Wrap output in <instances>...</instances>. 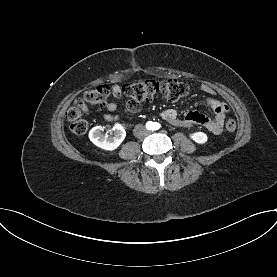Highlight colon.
<instances>
[{
	"label": "colon",
	"mask_w": 277,
	"mask_h": 277,
	"mask_svg": "<svg viewBox=\"0 0 277 277\" xmlns=\"http://www.w3.org/2000/svg\"><path fill=\"white\" fill-rule=\"evenodd\" d=\"M188 92L189 85L176 79L143 80L126 84L122 88V93L136 103L148 102L155 98L176 101L186 96ZM109 94L108 86L99 85L87 90L82 97L75 101L66 114L67 119L71 122L70 129L74 134L86 133L88 123L82 119V115L88 111L90 106H105ZM225 126L228 131H233L236 128V123L233 119H227Z\"/></svg>",
	"instance_id": "obj_1"
}]
</instances>
